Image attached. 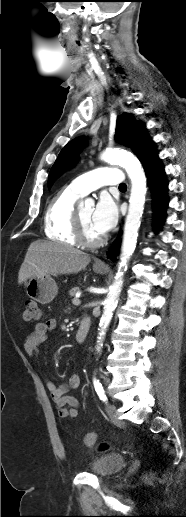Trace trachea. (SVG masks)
<instances>
[{
  "instance_id": "1",
  "label": "trachea",
  "mask_w": 186,
  "mask_h": 517,
  "mask_svg": "<svg viewBox=\"0 0 186 517\" xmlns=\"http://www.w3.org/2000/svg\"><path fill=\"white\" fill-rule=\"evenodd\" d=\"M119 188H120V189H126V188H127V186H126V184H124V183H123V184L119 185Z\"/></svg>"
}]
</instances>
